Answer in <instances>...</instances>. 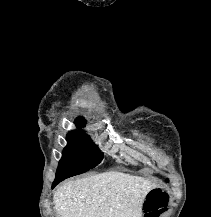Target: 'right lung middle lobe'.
<instances>
[{
  "label": "right lung middle lobe",
  "instance_id": "1",
  "mask_svg": "<svg viewBox=\"0 0 211 217\" xmlns=\"http://www.w3.org/2000/svg\"><path fill=\"white\" fill-rule=\"evenodd\" d=\"M66 140L68 144L59 161L55 180H64L71 176L84 173L102 161L103 154L92 143L89 136L83 132H69Z\"/></svg>",
  "mask_w": 211,
  "mask_h": 217
}]
</instances>
